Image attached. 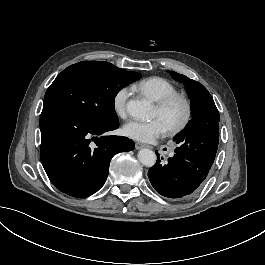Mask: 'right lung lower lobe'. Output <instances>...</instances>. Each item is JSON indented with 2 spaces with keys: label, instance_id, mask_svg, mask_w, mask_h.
<instances>
[{
  "label": "right lung lower lobe",
  "instance_id": "right-lung-lower-lobe-1",
  "mask_svg": "<svg viewBox=\"0 0 265 265\" xmlns=\"http://www.w3.org/2000/svg\"><path fill=\"white\" fill-rule=\"evenodd\" d=\"M117 128L118 123L93 125L59 109H43L40 158L54 186L78 198L98 191L108 176L111 158L134 149V142L126 137L105 136Z\"/></svg>",
  "mask_w": 265,
  "mask_h": 265
}]
</instances>
